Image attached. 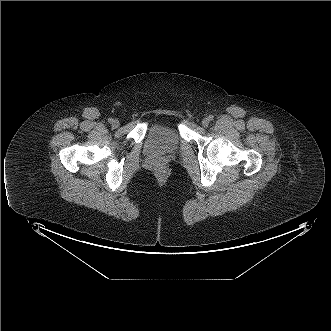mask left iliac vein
<instances>
[{"mask_svg": "<svg viewBox=\"0 0 331 331\" xmlns=\"http://www.w3.org/2000/svg\"><path fill=\"white\" fill-rule=\"evenodd\" d=\"M209 123H210V121H209L208 118H204V119L202 120V125H203V127H208Z\"/></svg>", "mask_w": 331, "mask_h": 331, "instance_id": "left-iliac-vein-1", "label": "left iliac vein"}]
</instances>
